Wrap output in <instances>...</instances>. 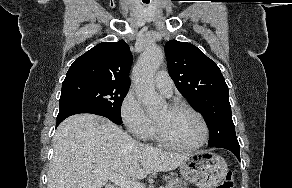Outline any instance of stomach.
I'll list each match as a JSON object with an SVG mask.
<instances>
[{
    "label": "stomach",
    "mask_w": 292,
    "mask_h": 188,
    "mask_svg": "<svg viewBox=\"0 0 292 188\" xmlns=\"http://www.w3.org/2000/svg\"><path fill=\"white\" fill-rule=\"evenodd\" d=\"M227 171L225 159L210 150L191 153L180 164L182 177L199 188H214L225 177Z\"/></svg>",
    "instance_id": "0dacf381"
}]
</instances>
